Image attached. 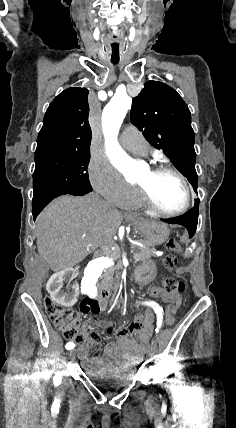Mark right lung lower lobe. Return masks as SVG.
<instances>
[{"instance_id": "98d812e1", "label": "right lung lower lobe", "mask_w": 236, "mask_h": 428, "mask_svg": "<svg viewBox=\"0 0 236 428\" xmlns=\"http://www.w3.org/2000/svg\"><path fill=\"white\" fill-rule=\"evenodd\" d=\"M92 189H75V190H65V191H58V192H53L44 196H41L39 198L33 199L32 202V214H33V218L34 221L37 217V215L43 210V208L50 202L52 201L54 198L60 196V195H64V194H71V195H75V196H82L85 195L89 192H91Z\"/></svg>"}]
</instances>
